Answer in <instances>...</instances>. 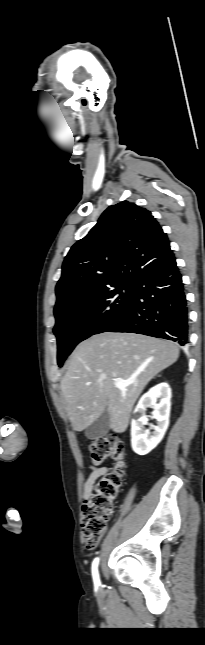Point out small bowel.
I'll list each match as a JSON object with an SVG mask.
<instances>
[{
    "mask_svg": "<svg viewBox=\"0 0 205 645\" xmlns=\"http://www.w3.org/2000/svg\"><path fill=\"white\" fill-rule=\"evenodd\" d=\"M108 469L106 467H98V466H91L90 467V474L88 478L84 482V488H83V498L86 500L93 491L95 482L98 478L104 476L107 474Z\"/></svg>",
    "mask_w": 205,
    "mask_h": 645,
    "instance_id": "obj_1",
    "label": "small bowel"
}]
</instances>
